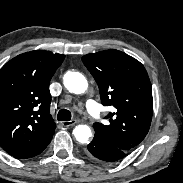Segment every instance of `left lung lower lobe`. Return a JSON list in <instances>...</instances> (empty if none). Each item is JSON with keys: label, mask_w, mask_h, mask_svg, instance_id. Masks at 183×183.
I'll list each match as a JSON object with an SVG mask.
<instances>
[{"label": "left lung lower lobe", "mask_w": 183, "mask_h": 183, "mask_svg": "<svg viewBox=\"0 0 183 183\" xmlns=\"http://www.w3.org/2000/svg\"><path fill=\"white\" fill-rule=\"evenodd\" d=\"M86 155L100 163L116 162L126 156L128 153L116 146L109 144L101 139L98 135H94L92 142L87 146Z\"/></svg>", "instance_id": "0a47b994"}]
</instances>
